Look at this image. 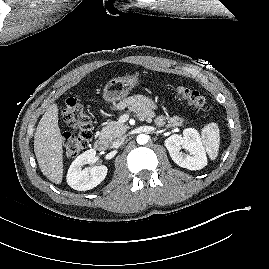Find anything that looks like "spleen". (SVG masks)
Wrapping results in <instances>:
<instances>
[{
	"instance_id": "1",
	"label": "spleen",
	"mask_w": 269,
	"mask_h": 269,
	"mask_svg": "<svg viewBox=\"0 0 269 269\" xmlns=\"http://www.w3.org/2000/svg\"><path fill=\"white\" fill-rule=\"evenodd\" d=\"M219 133L220 132L218 124L215 122H211L205 125L201 131L202 143L211 160H215L216 157L218 156L219 142H220Z\"/></svg>"
}]
</instances>
